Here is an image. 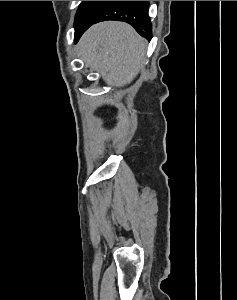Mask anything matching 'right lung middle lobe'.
<instances>
[{
  "instance_id": "right-lung-middle-lobe-1",
  "label": "right lung middle lobe",
  "mask_w": 237,
  "mask_h": 300,
  "mask_svg": "<svg viewBox=\"0 0 237 300\" xmlns=\"http://www.w3.org/2000/svg\"><path fill=\"white\" fill-rule=\"evenodd\" d=\"M115 1H82L75 17V33L93 24Z\"/></svg>"
}]
</instances>
